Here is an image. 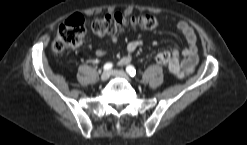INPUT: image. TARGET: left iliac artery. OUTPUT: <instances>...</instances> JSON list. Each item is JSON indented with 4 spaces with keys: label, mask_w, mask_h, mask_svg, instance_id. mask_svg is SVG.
Masks as SVG:
<instances>
[{
    "label": "left iliac artery",
    "mask_w": 247,
    "mask_h": 145,
    "mask_svg": "<svg viewBox=\"0 0 247 145\" xmlns=\"http://www.w3.org/2000/svg\"><path fill=\"white\" fill-rule=\"evenodd\" d=\"M126 72L131 76L134 77L136 75V70L132 65L126 67Z\"/></svg>",
    "instance_id": "left-iliac-artery-1"
}]
</instances>
